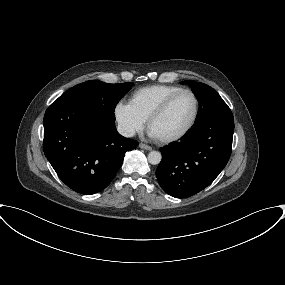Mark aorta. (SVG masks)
Wrapping results in <instances>:
<instances>
[{"label":"aorta","mask_w":285,"mask_h":285,"mask_svg":"<svg viewBox=\"0 0 285 285\" xmlns=\"http://www.w3.org/2000/svg\"><path fill=\"white\" fill-rule=\"evenodd\" d=\"M162 159V156H161V153L158 152V151H151L149 154H148V161L150 164L152 165H157L160 163Z\"/></svg>","instance_id":"aorta-1"}]
</instances>
